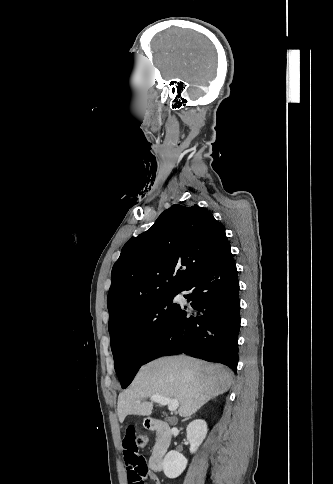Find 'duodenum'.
<instances>
[{"label": "duodenum", "instance_id": "obj_1", "mask_svg": "<svg viewBox=\"0 0 333 484\" xmlns=\"http://www.w3.org/2000/svg\"><path fill=\"white\" fill-rule=\"evenodd\" d=\"M145 424L148 429L155 431L158 435L149 464L153 471L159 472L163 469V458L171 442L172 430L168 423L156 418H148Z\"/></svg>", "mask_w": 333, "mask_h": 484}]
</instances>
